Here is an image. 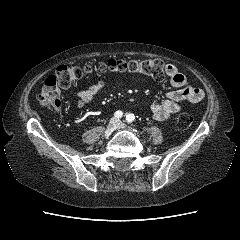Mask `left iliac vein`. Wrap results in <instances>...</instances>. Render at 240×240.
<instances>
[{
	"mask_svg": "<svg viewBox=\"0 0 240 240\" xmlns=\"http://www.w3.org/2000/svg\"><path fill=\"white\" fill-rule=\"evenodd\" d=\"M117 128H118V129H125V128H126V125L123 124L121 121H119Z\"/></svg>",
	"mask_w": 240,
	"mask_h": 240,
	"instance_id": "1",
	"label": "left iliac vein"
}]
</instances>
